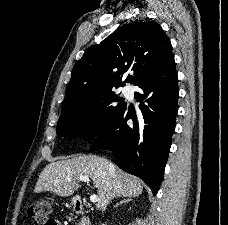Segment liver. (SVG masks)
<instances>
[{
    "label": "liver",
    "mask_w": 228,
    "mask_h": 225,
    "mask_svg": "<svg viewBox=\"0 0 228 225\" xmlns=\"http://www.w3.org/2000/svg\"><path fill=\"white\" fill-rule=\"evenodd\" d=\"M110 161L96 155H75L74 159L50 163L36 183L34 193L51 191L59 197H70L79 189L78 177H88L97 189L99 201L97 209H106L111 199L117 197H139L143 187L136 177L123 173Z\"/></svg>",
    "instance_id": "obj_1"
}]
</instances>
